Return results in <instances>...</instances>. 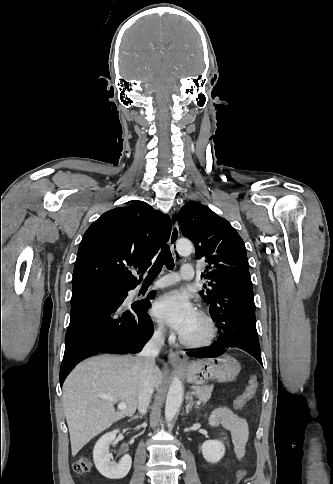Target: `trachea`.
<instances>
[{"label": "trachea", "mask_w": 333, "mask_h": 484, "mask_svg": "<svg viewBox=\"0 0 333 484\" xmlns=\"http://www.w3.org/2000/svg\"><path fill=\"white\" fill-rule=\"evenodd\" d=\"M163 265H165L169 270L174 268V259L168 245H165L161 250L155 263L149 270L146 280H154L161 272Z\"/></svg>", "instance_id": "1"}]
</instances>
